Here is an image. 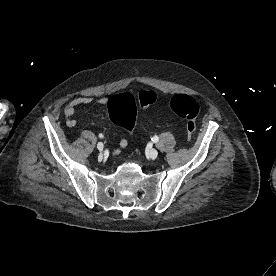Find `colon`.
Here are the masks:
<instances>
[{"label":"colon","instance_id":"obj_1","mask_svg":"<svg viewBox=\"0 0 276 276\" xmlns=\"http://www.w3.org/2000/svg\"><path fill=\"white\" fill-rule=\"evenodd\" d=\"M156 100V94L151 90H142L137 98L131 93H121L112 96L107 104L111 120L132 132L135 127L137 105L147 108ZM171 110L179 117L187 121L189 139L196 131V118L200 111L198 102L186 94H176L170 101Z\"/></svg>","mask_w":276,"mask_h":276}]
</instances>
